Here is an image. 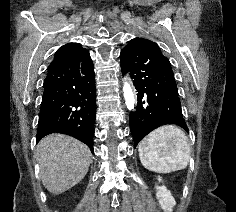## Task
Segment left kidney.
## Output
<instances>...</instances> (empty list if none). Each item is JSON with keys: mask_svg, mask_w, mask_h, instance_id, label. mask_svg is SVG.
Listing matches in <instances>:
<instances>
[{"mask_svg": "<svg viewBox=\"0 0 236 212\" xmlns=\"http://www.w3.org/2000/svg\"><path fill=\"white\" fill-rule=\"evenodd\" d=\"M159 182L162 181L161 177H158ZM157 198L161 208L166 212H172V207L175 205V200L171 195L170 191L163 186H156Z\"/></svg>", "mask_w": 236, "mask_h": 212, "instance_id": "1", "label": "left kidney"}]
</instances>
